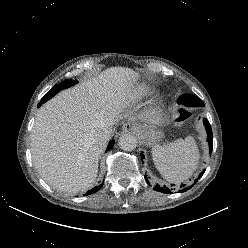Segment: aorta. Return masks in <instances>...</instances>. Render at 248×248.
<instances>
[{
	"mask_svg": "<svg viewBox=\"0 0 248 248\" xmlns=\"http://www.w3.org/2000/svg\"><path fill=\"white\" fill-rule=\"evenodd\" d=\"M118 144L124 151H133L137 147V139L133 135L125 134L119 138Z\"/></svg>",
	"mask_w": 248,
	"mask_h": 248,
	"instance_id": "762f6f07",
	"label": "aorta"
}]
</instances>
